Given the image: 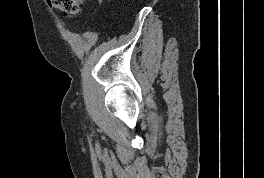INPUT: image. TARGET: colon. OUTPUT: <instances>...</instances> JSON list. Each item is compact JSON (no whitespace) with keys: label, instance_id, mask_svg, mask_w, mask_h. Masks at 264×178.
<instances>
[{"label":"colon","instance_id":"5ec220e1","mask_svg":"<svg viewBox=\"0 0 264 178\" xmlns=\"http://www.w3.org/2000/svg\"><path fill=\"white\" fill-rule=\"evenodd\" d=\"M48 4L65 15L73 16L79 13L84 0H47Z\"/></svg>","mask_w":264,"mask_h":178}]
</instances>
